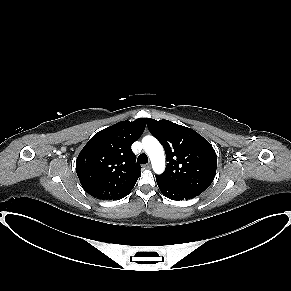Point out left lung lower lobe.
<instances>
[{
  "mask_svg": "<svg viewBox=\"0 0 291 291\" xmlns=\"http://www.w3.org/2000/svg\"><path fill=\"white\" fill-rule=\"evenodd\" d=\"M158 187L162 194L172 200H188L198 196V193L184 190L169 184L156 176Z\"/></svg>",
  "mask_w": 291,
  "mask_h": 291,
  "instance_id": "0a47b994",
  "label": "left lung lower lobe"
}]
</instances>
